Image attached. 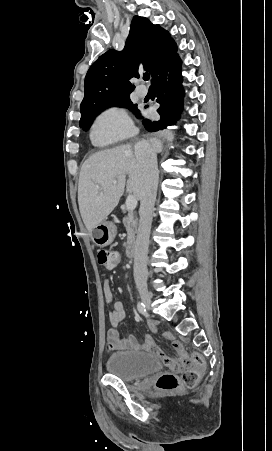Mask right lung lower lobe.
<instances>
[{"instance_id":"right-lung-lower-lobe-1","label":"right lung lower lobe","mask_w":272,"mask_h":451,"mask_svg":"<svg viewBox=\"0 0 272 451\" xmlns=\"http://www.w3.org/2000/svg\"><path fill=\"white\" fill-rule=\"evenodd\" d=\"M157 92V102L160 103L158 113L160 120L143 119L142 123L150 132L162 131L176 124L183 110L184 89L182 87L181 60L178 54L163 66L152 79Z\"/></svg>"}]
</instances>
